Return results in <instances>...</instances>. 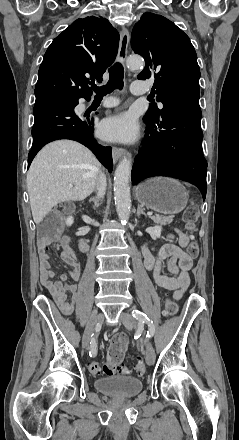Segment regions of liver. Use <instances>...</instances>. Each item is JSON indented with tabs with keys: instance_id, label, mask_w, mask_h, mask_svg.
I'll list each match as a JSON object with an SVG mask.
<instances>
[{
	"instance_id": "liver-1",
	"label": "liver",
	"mask_w": 239,
	"mask_h": 440,
	"mask_svg": "<svg viewBox=\"0 0 239 440\" xmlns=\"http://www.w3.org/2000/svg\"><path fill=\"white\" fill-rule=\"evenodd\" d=\"M100 174V162L78 142L57 140L44 146L27 172V190L35 224H40L60 202L85 200L92 194Z\"/></svg>"
}]
</instances>
